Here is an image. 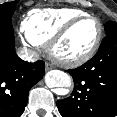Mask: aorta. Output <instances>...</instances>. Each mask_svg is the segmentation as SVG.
I'll return each instance as SVG.
<instances>
[{"label": "aorta", "instance_id": "aorta-1", "mask_svg": "<svg viewBox=\"0 0 117 117\" xmlns=\"http://www.w3.org/2000/svg\"><path fill=\"white\" fill-rule=\"evenodd\" d=\"M45 83L49 88H57L63 90L72 84L71 77L60 70H51L45 75Z\"/></svg>", "mask_w": 117, "mask_h": 117}]
</instances>
